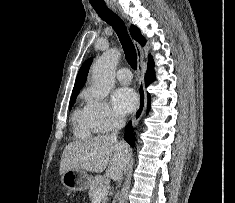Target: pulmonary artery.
I'll return each mask as SVG.
<instances>
[{"label": "pulmonary artery", "mask_w": 235, "mask_h": 203, "mask_svg": "<svg viewBox=\"0 0 235 203\" xmlns=\"http://www.w3.org/2000/svg\"><path fill=\"white\" fill-rule=\"evenodd\" d=\"M117 79L122 83H129L132 79V73L128 68H121L116 72Z\"/></svg>", "instance_id": "e3ab8cb5"}]
</instances>
